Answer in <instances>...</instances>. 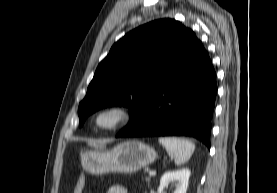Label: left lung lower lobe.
Instances as JSON below:
<instances>
[{
  "instance_id": "1",
  "label": "left lung lower lobe",
  "mask_w": 277,
  "mask_h": 193,
  "mask_svg": "<svg viewBox=\"0 0 277 193\" xmlns=\"http://www.w3.org/2000/svg\"><path fill=\"white\" fill-rule=\"evenodd\" d=\"M216 74L198 40L186 61L116 137L191 136L210 147Z\"/></svg>"
}]
</instances>
